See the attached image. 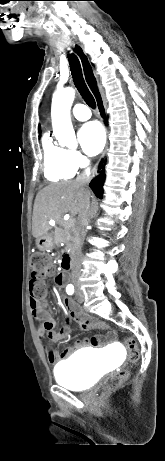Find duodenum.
Wrapping results in <instances>:
<instances>
[{
  "instance_id": "410a0bca",
  "label": "duodenum",
  "mask_w": 165,
  "mask_h": 461,
  "mask_svg": "<svg viewBox=\"0 0 165 461\" xmlns=\"http://www.w3.org/2000/svg\"><path fill=\"white\" fill-rule=\"evenodd\" d=\"M73 259H74V256H73V253H71V252L70 253H65L63 255V263H64V268L66 270L71 269L72 264H73Z\"/></svg>"
}]
</instances>
